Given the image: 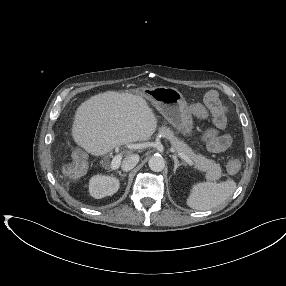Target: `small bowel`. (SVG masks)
Segmentation results:
<instances>
[{
    "label": "small bowel",
    "mask_w": 286,
    "mask_h": 286,
    "mask_svg": "<svg viewBox=\"0 0 286 286\" xmlns=\"http://www.w3.org/2000/svg\"><path fill=\"white\" fill-rule=\"evenodd\" d=\"M210 111L213 117L214 128L204 131L201 135V139L211 153H223L231 144L230 136L228 134L221 133V130H223L226 125L225 114L223 110L220 112H214L210 109ZM191 112L198 117H204L207 114L204 106L199 103L191 105Z\"/></svg>",
    "instance_id": "1"
}]
</instances>
